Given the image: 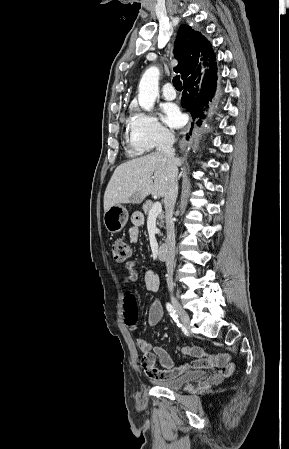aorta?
Returning a JSON list of instances; mask_svg holds the SVG:
<instances>
[{
  "label": "aorta",
  "instance_id": "obj_1",
  "mask_svg": "<svg viewBox=\"0 0 289 449\" xmlns=\"http://www.w3.org/2000/svg\"><path fill=\"white\" fill-rule=\"evenodd\" d=\"M159 69L156 66L149 67L143 74L139 83L138 102L141 108L150 111L159 94Z\"/></svg>",
  "mask_w": 289,
  "mask_h": 449
}]
</instances>
